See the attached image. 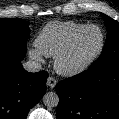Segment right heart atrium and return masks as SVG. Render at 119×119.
I'll use <instances>...</instances> for the list:
<instances>
[{"label": "right heart atrium", "mask_w": 119, "mask_h": 119, "mask_svg": "<svg viewBox=\"0 0 119 119\" xmlns=\"http://www.w3.org/2000/svg\"><path fill=\"white\" fill-rule=\"evenodd\" d=\"M29 54L35 60H38V61L42 60V54L40 53V51L38 49H31L29 51Z\"/></svg>", "instance_id": "right-heart-atrium-1"}]
</instances>
